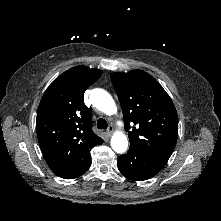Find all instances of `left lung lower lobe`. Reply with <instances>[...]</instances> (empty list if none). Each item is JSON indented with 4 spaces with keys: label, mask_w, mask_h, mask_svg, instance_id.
Here are the masks:
<instances>
[{
    "label": "left lung lower lobe",
    "mask_w": 221,
    "mask_h": 221,
    "mask_svg": "<svg viewBox=\"0 0 221 221\" xmlns=\"http://www.w3.org/2000/svg\"><path fill=\"white\" fill-rule=\"evenodd\" d=\"M166 163V161L152 157L133 147H130L126 154L117 159L119 171L133 181H142L153 177Z\"/></svg>",
    "instance_id": "1"
}]
</instances>
